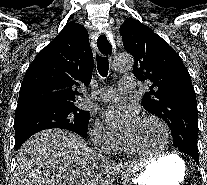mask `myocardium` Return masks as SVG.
<instances>
[{
	"mask_svg": "<svg viewBox=\"0 0 207 185\" xmlns=\"http://www.w3.org/2000/svg\"><path fill=\"white\" fill-rule=\"evenodd\" d=\"M142 119L148 120V121H154L155 123H157L160 126V128L162 129V132L164 134L165 141H166L165 148L159 152L137 151V150H134L130 147L129 142L127 140V137H126V135H124L122 137V144H123V148H124L125 152L129 155H132V156L146 157V158H157V157H161V156L165 155L166 149L171 143V134H170V131H169L167 124L161 118H159L157 116L149 115V116H144Z\"/></svg>",
	"mask_w": 207,
	"mask_h": 185,
	"instance_id": "myocardium-1",
	"label": "myocardium"
}]
</instances>
